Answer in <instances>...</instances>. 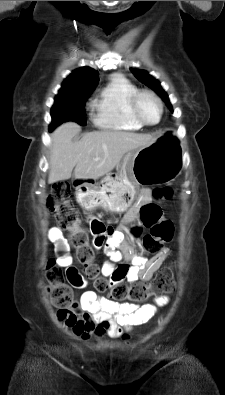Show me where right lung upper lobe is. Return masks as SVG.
Listing matches in <instances>:
<instances>
[{"label":"right lung upper lobe","instance_id":"1","mask_svg":"<svg viewBox=\"0 0 225 395\" xmlns=\"http://www.w3.org/2000/svg\"><path fill=\"white\" fill-rule=\"evenodd\" d=\"M99 81L98 71L83 67L70 74L63 82L60 91L64 92H92Z\"/></svg>","mask_w":225,"mask_h":395}]
</instances>
